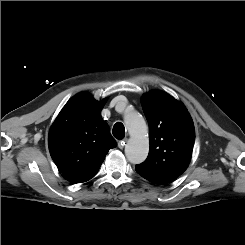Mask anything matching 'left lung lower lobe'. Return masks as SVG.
Listing matches in <instances>:
<instances>
[{"label": "left lung lower lobe", "instance_id": "left-lung-lower-lobe-1", "mask_svg": "<svg viewBox=\"0 0 245 245\" xmlns=\"http://www.w3.org/2000/svg\"><path fill=\"white\" fill-rule=\"evenodd\" d=\"M136 172L142 176L143 178H145L146 180L152 182V183H155V184H159V185H164V184H167L171 181L169 180H166V179H162V178H159V177H156V176H151V175H148L138 169H136Z\"/></svg>", "mask_w": 245, "mask_h": 245}]
</instances>
